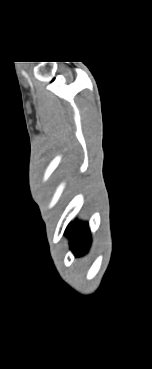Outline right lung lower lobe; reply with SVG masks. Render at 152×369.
<instances>
[{
	"label": "right lung lower lobe",
	"instance_id": "right-lung-lower-lobe-1",
	"mask_svg": "<svg viewBox=\"0 0 152 369\" xmlns=\"http://www.w3.org/2000/svg\"><path fill=\"white\" fill-rule=\"evenodd\" d=\"M67 235L70 236V246L76 256L88 251L91 235L87 223L72 224L67 228Z\"/></svg>",
	"mask_w": 152,
	"mask_h": 369
}]
</instances>
